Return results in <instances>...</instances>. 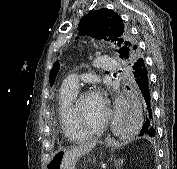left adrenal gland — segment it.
<instances>
[{
    "label": "left adrenal gland",
    "instance_id": "1",
    "mask_svg": "<svg viewBox=\"0 0 177 169\" xmlns=\"http://www.w3.org/2000/svg\"><path fill=\"white\" fill-rule=\"evenodd\" d=\"M123 160L122 159H120V160H115L114 161V165L116 166V169H120L121 168V166L123 165Z\"/></svg>",
    "mask_w": 177,
    "mask_h": 169
}]
</instances>
